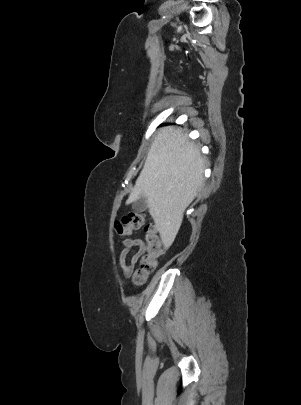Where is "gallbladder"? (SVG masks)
<instances>
[{
	"label": "gallbladder",
	"instance_id": "gallbladder-1",
	"mask_svg": "<svg viewBox=\"0 0 301 405\" xmlns=\"http://www.w3.org/2000/svg\"><path fill=\"white\" fill-rule=\"evenodd\" d=\"M148 208L147 199L145 197H140L132 203V209L137 212L141 213Z\"/></svg>",
	"mask_w": 301,
	"mask_h": 405
}]
</instances>
